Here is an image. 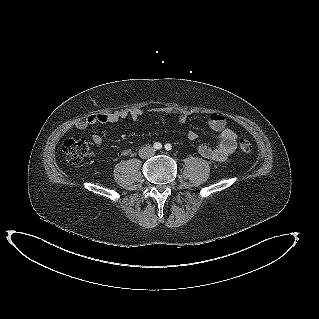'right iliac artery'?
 <instances>
[{
    "instance_id": "82829eb1",
    "label": "right iliac artery",
    "mask_w": 319,
    "mask_h": 319,
    "mask_svg": "<svg viewBox=\"0 0 319 319\" xmlns=\"http://www.w3.org/2000/svg\"><path fill=\"white\" fill-rule=\"evenodd\" d=\"M153 147H154L156 150H159V149L162 148V144L159 143V142H156V143H154Z\"/></svg>"
}]
</instances>
